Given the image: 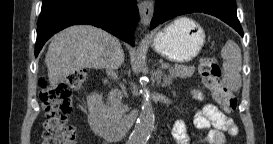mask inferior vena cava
Listing matches in <instances>:
<instances>
[{
	"instance_id": "obj_1",
	"label": "inferior vena cava",
	"mask_w": 273,
	"mask_h": 144,
	"mask_svg": "<svg viewBox=\"0 0 273 144\" xmlns=\"http://www.w3.org/2000/svg\"><path fill=\"white\" fill-rule=\"evenodd\" d=\"M122 53V49L118 39L112 38L110 46L104 54V65L106 69V73L108 76H111L114 80L118 79V75L116 70V63L119 61Z\"/></svg>"
}]
</instances>
